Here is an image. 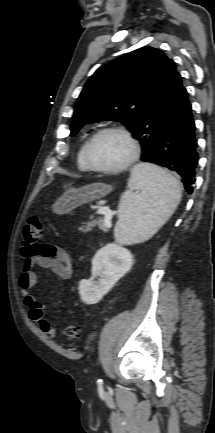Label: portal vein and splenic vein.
<instances>
[{
  "mask_svg": "<svg viewBox=\"0 0 215 433\" xmlns=\"http://www.w3.org/2000/svg\"><path fill=\"white\" fill-rule=\"evenodd\" d=\"M97 213L104 215V224L107 228L112 226L111 218L113 216V212L108 207H101L98 209Z\"/></svg>",
  "mask_w": 215,
  "mask_h": 433,
  "instance_id": "obj_1",
  "label": "portal vein and splenic vein"
}]
</instances>
